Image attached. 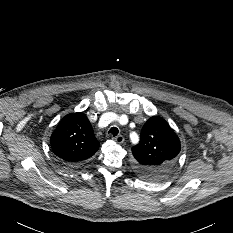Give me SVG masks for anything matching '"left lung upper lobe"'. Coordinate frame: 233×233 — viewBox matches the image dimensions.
Returning a JSON list of instances; mask_svg holds the SVG:
<instances>
[{
    "mask_svg": "<svg viewBox=\"0 0 233 233\" xmlns=\"http://www.w3.org/2000/svg\"><path fill=\"white\" fill-rule=\"evenodd\" d=\"M179 152V138L159 116L147 120L141 130L140 143L132 148L138 173L150 180L161 179L170 173Z\"/></svg>",
    "mask_w": 233,
    "mask_h": 233,
    "instance_id": "1",
    "label": "left lung upper lobe"
}]
</instances>
